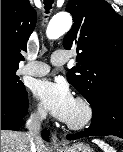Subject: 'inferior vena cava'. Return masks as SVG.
I'll return each mask as SVG.
<instances>
[{"label": "inferior vena cava", "instance_id": "inferior-vena-cava-1", "mask_svg": "<svg viewBox=\"0 0 123 152\" xmlns=\"http://www.w3.org/2000/svg\"><path fill=\"white\" fill-rule=\"evenodd\" d=\"M45 117H46V112L39 111L37 113L31 114L25 124L26 129H28V131L25 134L28 139L30 152H36L37 151L36 144L42 142V138L40 136V130H41V123Z\"/></svg>", "mask_w": 123, "mask_h": 152}]
</instances>
